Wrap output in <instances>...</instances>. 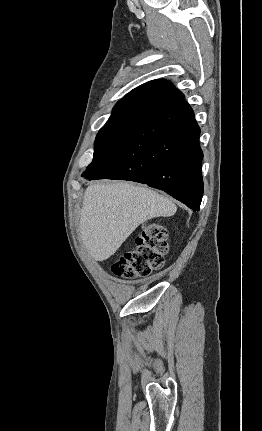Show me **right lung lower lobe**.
<instances>
[{"mask_svg":"<svg viewBox=\"0 0 262 431\" xmlns=\"http://www.w3.org/2000/svg\"><path fill=\"white\" fill-rule=\"evenodd\" d=\"M199 135L194 112L183 102L132 125L82 177L144 183L199 211L203 195Z\"/></svg>","mask_w":262,"mask_h":431,"instance_id":"right-lung-lower-lobe-1","label":"right lung lower lobe"}]
</instances>
